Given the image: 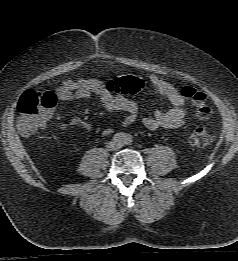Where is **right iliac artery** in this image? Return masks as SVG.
<instances>
[{
	"label": "right iliac artery",
	"instance_id": "82829eb1",
	"mask_svg": "<svg viewBox=\"0 0 238 261\" xmlns=\"http://www.w3.org/2000/svg\"><path fill=\"white\" fill-rule=\"evenodd\" d=\"M124 139H125V134L124 133H116L112 140L115 142V143H122L124 142Z\"/></svg>",
	"mask_w": 238,
	"mask_h": 261
}]
</instances>
